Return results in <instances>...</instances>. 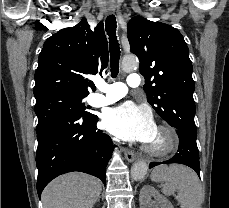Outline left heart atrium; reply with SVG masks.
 Masks as SVG:
<instances>
[{
  "label": "left heart atrium",
  "instance_id": "1",
  "mask_svg": "<svg viewBox=\"0 0 229 208\" xmlns=\"http://www.w3.org/2000/svg\"><path fill=\"white\" fill-rule=\"evenodd\" d=\"M102 125L120 139L143 143H147L156 131L151 111L131 101L109 108Z\"/></svg>",
  "mask_w": 229,
  "mask_h": 208
}]
</instances>
